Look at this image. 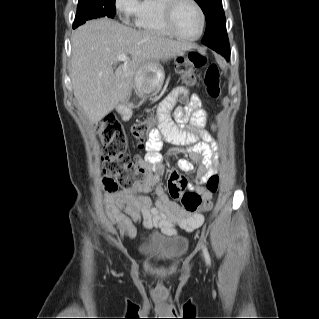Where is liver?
<instances>
[{"label":"liver","mask_w":319,"mask_h":319,"mask_svg":"<svg viewBox=\"0 0 319 319\" xmlns=\"http://www.w3.org/2000/svg\"><path fill=\"white\" fill-rule=\"evenodd\" d=\"M71 42L73 93L92 123H98L130 97L135 74L143 63L168 60L192 48L108 18L87 21L75 30ZM119 54H129L131 58L114 71Z\"/></svg>","instance_id":"liver-1"}]
</instances>
